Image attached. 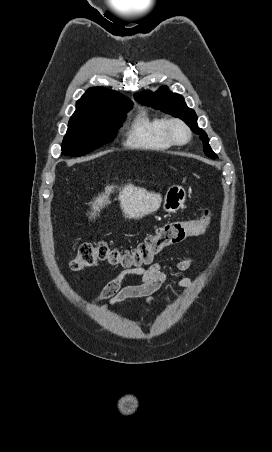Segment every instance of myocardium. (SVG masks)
I'll return each instance as SVG.
<instances>
[{
  "mask_svg": "<svg viewBox=\"0 0 272 452\" xmlns=\"http://www.w3.org/2000/svg\"><path fill=\"white\" fill-rule=\"evenodd\" d=\"M181 129L184 133L183 138H179L176 134L177 129ZM166 132L173 144H186L191 138V130L189 126L180 118H170L166 124Z\"/></svg>",
  "mask_w": 272,
  "mask_h": 452,
  "instance_id": "myocardium-1",
  "label": "myocardium"
}]
</instances>
